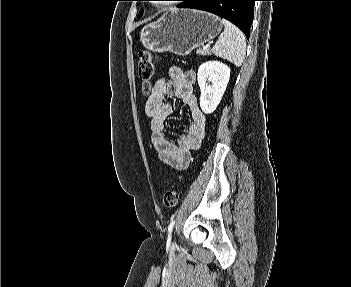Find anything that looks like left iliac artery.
I'll use <instances>...</instances> for the list:
<instances>
[{
  "label": "left iliac artery",
  "instance_id": "44dca946",
  "mask_svg": "<svg viewBox=\"0 0 351 287\" xmlns=\"http://www.w3.org/2000/svg\"><path fill=\"white\" fill-rule=\"evenodd\" d=\"M174 224H175V220L172 218L169 226H168V236L170 237L172 231H173V227H174Z\"/></svg>",
  "mask_w": 351,
  "mask_h": 287
}]
</instances>
